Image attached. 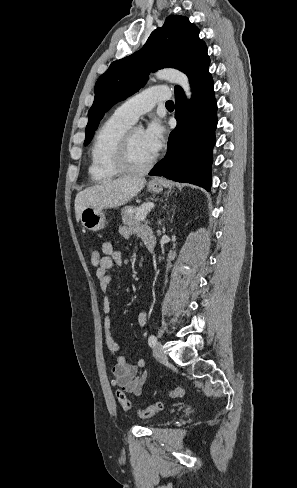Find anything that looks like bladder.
<instances>
[{
    "mask_svg": "<svg viewBox=\"0 0 297 488\" xmlns=\"http://www.w3.org/2000/svg\"><path fill=\"white\" fill-rule=\"evenodd\" d=\"M163 418H164V417H161V418L157 419V422H159V421L163 420Z\"/></svg>",
    "mask_w": 297,
    "mask_h": 488,
    "instance_id": "obj_1",
    "label": "bladder"
}]
</instances>
